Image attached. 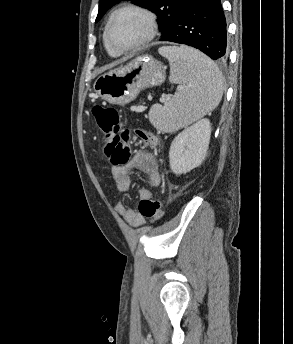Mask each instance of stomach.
I'll list each match as a JSON object with an SVG mask.
<instances>
[{
    "label": "stomach",
    "mask_w": 293,
    "mask_h": 344,
    "mask_svg": "<svg viewBox=\"0 0 293 344\" xmlns=\"http://www.w3.org/2000/svg\"><path fill=\"white\" fill-rule=\"evenodd\" d=\"M164 80L163 65L150 56H140L99 76L94 90L109 103L125 105L133 101L141 90L160 85Z\"/></svg>",
    "instance_id": "1"
}]
</instances>
